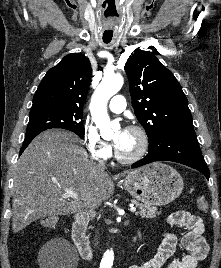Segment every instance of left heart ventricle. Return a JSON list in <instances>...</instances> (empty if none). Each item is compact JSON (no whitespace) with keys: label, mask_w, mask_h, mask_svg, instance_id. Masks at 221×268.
I'll return each mask as SVG.
<instances>
[{"label":"left heart ventricle","mask_w":221,"mask_h":268,"mask_svg":"<svg viewBox=\"0 0 221 268\" xmlns=\"http://www.w3.org/2000/svg\"><path fill=\"white\" fill-rule=\"evenodd\" d=\"M119 134H120V132H118L114 136L115 141L118 139ZM140 145H141V140H140V137L138 136V134L128 130L126 137L123 141V144L117 150L121 155L129 157V156H132L138 152Z\"/></svg>","instance_id":"1"}]
</instances>
